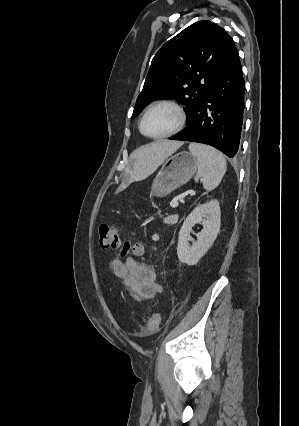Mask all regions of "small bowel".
I'll return each instance as SVG.
<instances>
[{"label": "small bowel", "mask_w": 299, "mask_h": 426, "mask_svg": "<svg viewBox=\"0 0 299 426\" xmlns=\"http://www.w3.org/2000/svg\"><path fill=\"white\" fill-rule=\"evenodd\" d=\"M110 267L122 285L137 300L151 299L161 291L157 274L152 265L139 262L133 257L121 260L115 257Z\"/></svg>", "instance_id": "c3829d8e"}]
</instances>
